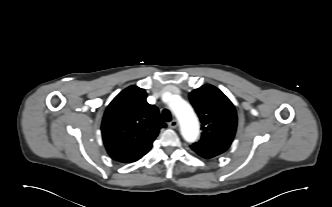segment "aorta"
<instances>
[{
	"mask_svg": "<svg viewBox=\"0 0 332 207\" xmlns=\"http://www.w3.org/2000/svg\"><path fill=\"white\" fill-rule=\"evenodd\" d=\"M168 105L180 123L183 138L187 142H195L199 135V122L190 104L179 95H173Z\"/></svg>",
	"mask_w": 332,
	"mask_h": 207,
	"instance_id": "obj_1",
	"label": "aorta"
}]
</instances>
